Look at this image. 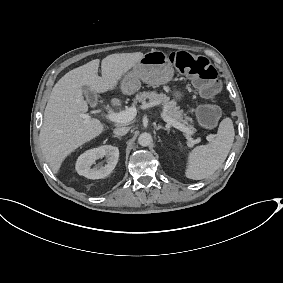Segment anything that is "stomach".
<instances>
[{
    "label": "stomach",
    "mask_w": 283,
    "mask_h": 283,
    "mask_svg": "<svg viewBox=\"0 0 283 283\" xmlns=\"http://www.w3.org/2000/svg\"><path fill=\"white\" fill-rule=\"evenodd\" d=\"M174 73V67L164 51L147 52L134 66V70L123 79L122 91L125 94L135 93L140 88L139 80L154 86L167 85L172 81ZM170 96L174 102H182L185 93L179 88H173Z\"/></svg>",
    "instance_id": "obj_1"
}]
</instances>
